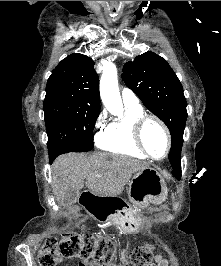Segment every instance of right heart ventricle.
Instances as JSON below:
<instances>
[{
  "label": "right heart ventricle",
  "instance_id": "e07e8e85",
  "mask_svg": "<svg viewBox=\"0 0 221 266\" xmlns=\"http://www.w3.org/2000/svg\"><path fill=\"white\" fill-rule=\"evenodd\" d=\"M125 107V116L107 125L97 137V145L104 151L145 159L147 156L138 148L133 138V122L143 114V109L141 106Z\"/></svg>",
  "mask_w": 221,
  "mask_h": 266
}]
</instances>
